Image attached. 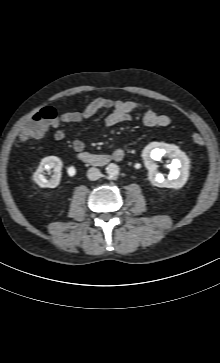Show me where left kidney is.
<instances>
[{
    "mask_svg": "<svg viewBox=\"0 0 220 363\" xmlns=\"http://www.w3.org/2000/svg\"><path fill=\"white\" fill-rule=\"evenodd\" d=\"M165 154L172 158L171 171L167 179L156 171L157 165L154 162L160 160ZM142 158L148 169V179L153 186L179 189L184 186L189 177L190 161L187 155L174 144L152 142L143 149Z\"/></svg>",
    "mask_w": 220,
    "mask_h": 363,
    "instance_id": "1",
    "label": "left kidney"
}]
</instances>
